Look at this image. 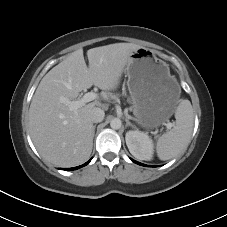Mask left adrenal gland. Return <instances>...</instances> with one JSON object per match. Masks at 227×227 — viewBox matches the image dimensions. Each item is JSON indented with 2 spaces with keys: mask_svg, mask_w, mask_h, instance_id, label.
I'll return each instance as SVG.
<instances>
[{
  "mask_svg": "<svg viewBox=\"0 0 227 227\" xmlns=\"http://www.w3.org/2000/svg\"><path fill=\"white\" fill-rule=\"evenodd\" d=\"M126 127L131 126L132 128H135V126L126 118Z\"/></svg>",
  "mask_w": 227,
  "mask_h": 227,
  "instance_id": "obj_1",
  "label": "left adrenal gland"
}]
</instances>
